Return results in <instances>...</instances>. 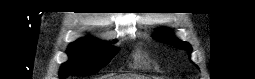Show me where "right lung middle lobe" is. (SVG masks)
Masks as SVG:
<instances>
[{
    "instance_id": "dd1d6c3e",
    "label": "right lung middle lobe",
    "mask_w": 255,
    "mask_h": 79,
    "mask_svg": "<svg viewBox=\"0 0 255 79\" xmlns=\"http://www.w3.org/2000/svg\"><path fill=\"white\" fill-rule=\"evenodd\" d=\"M118 49L92 39H80L68 48L70 60L60 69V78L67 75H90L106 66Z\"/></svg>"
}]
</instances>
